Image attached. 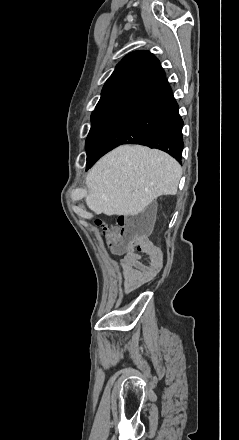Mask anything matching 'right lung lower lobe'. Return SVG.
<instances>
[{"label":"right lung lower lobe","instance_id":"98d812e1","mask_svg":"<svg viewBox=\"0 0 239 440\" xmlns=\"http://www.w3.org/2000/svg\"><path fill=\"white\" fill-rule=\"evenodd\" d=\"M183 120L166 78L132 99L116 122L87 155L88 170L105 153L121 144H141L160 149L181 162Z\"/></svg>","mask_w":239,"mask_h":440}]
</instances>
